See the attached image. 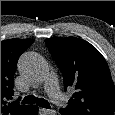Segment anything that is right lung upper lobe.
Segmentation results:
<instances>
[{
  "instance_id": "cb5924a9",
  "label": "right lung upper lobe",
  "mask_w": 115,
  "mask_h": 115,
  "mask_svg": "<svg viewBox=\"0 0 115 115\" xmlns=\"http://www.w3.org/2000/svg\"><path fill=\"white\" fill-rule=\"evenodd\" d=\"M34 39L1 41V115H28L32 105L12 102L14 72L19 56L30 47Z\"/></svg>"
}]
</instances>
